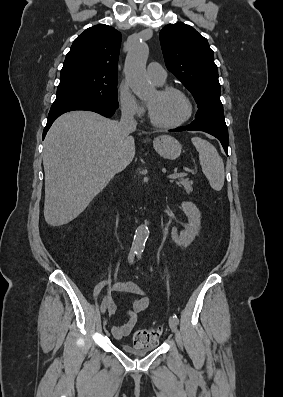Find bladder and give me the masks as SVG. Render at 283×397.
Masks as SVG:
<instances>
[{
	"label": "bladder",
	"instance_id": "bladder-1",
	"mask_svg": "<svg viewBox=\"0 0 283 397\" xmlns=\"http://www.w3.org/2000/svg\"><path fill=\"white\" fill-rule=\"evenodd\" d=\"M156 347H157V343H154L151 346L145 347V348H137V347H133L128 344H122L120 346L121 350L124 353L132 355V356H138V357L144 356V355L152 352L154 349H156Z\"/></svg>",
	"mask_w": 283,
	"mask_h": 397
}]
</instances>
